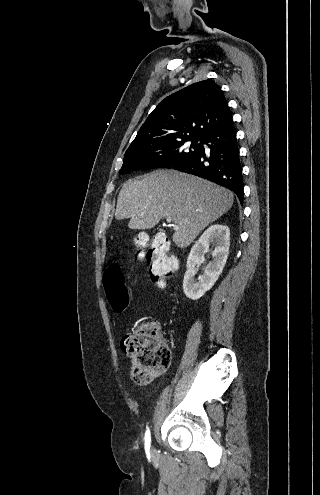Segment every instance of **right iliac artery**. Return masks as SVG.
Instances as JSON below:
<instances>
[{
	"mask_svg": "<svg viewBox=\"0 0 320 495\" xmlns=\"http://www.w3.org/2000/svg\"><path fill=\"white\" fill-rule=\"evenodd\" d=\"M144 440H145V448H146L147 451H149V448H150V445H151V435H150V430L149 429H147L146 432H145Z\"/></svg>",
	"mask_w": 320,
	"mask_h": 495,
	"instance_id": "right-iliac-artery-1",
	"label": "right iliac artery"
}]
</instances>
